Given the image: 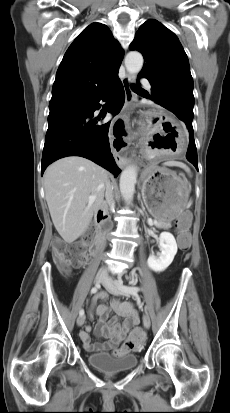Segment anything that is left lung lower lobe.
Instances as JSON below:
<instances>
[{
	"label": "left lung lower lobe",
	"mask_w": 230,
	"mask_h": 413,
	"mask_svg": "<svg viewBox=\"0 0 230 413\" xmlns=\"http://www.w3.org/2000/svg\"><path fill=\"white\" fill-rule=\"evenodd\" d=\"M185 125L189 131V146L187 149L186 158L198 170L197 150H196V145H195L194 136H193L192 123L189 121H186Z\"/></svg>",
	"instance_id": "1"
}]
</instances>
